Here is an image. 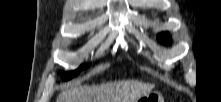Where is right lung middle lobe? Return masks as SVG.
<instances>
[{
  "label": "right lung middle lobe",
  "mask_w": 221,
  "mask_h": 102,
  "mask_svg": "<svg viewBox=\"0 0 221 102\" xmlns=\"http://www.w3.org/2000/svg\"><path fill=\"white\" fill-rule=\"evenodd\" d=\"M88 67H89V65L83 64L77 70H75L73 72L62 73V78H63V80H69L72 77L76 76L81 70L86 69Z\"/></svg>",
  "instance_id": "dd1d6c3e"
}]
</instances>
